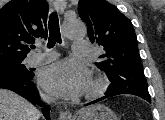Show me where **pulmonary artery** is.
I'll use <instances>...</instances> for the list:
<instances>
[{
	"label": "pulmonary artery",
	"instance_id": "1",
	"mask_svg": "<svg viewBox=\"0 0 165 120\" xmlns=\"http://www.w3.org/2000/svg\"><path fill=\"white\" fill-rule=\"evenodd\" d=\"M73 52L80 56H87L90 53V45L86 41H78L73 45ZM57 57V54L51 50L42 53H36L27 60L28 65L35 66L50 62Z\"/></svg>",
	"mask_w": 165,
	"mask_h": 120
}]
</instances>
